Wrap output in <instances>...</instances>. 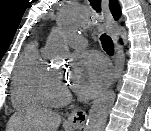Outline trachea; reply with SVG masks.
I'll return each mask as SVG.
<instances>
[{"label":"trachea","mask_w":151,"mask_h":131,"mask_svg":"<svg viewBox=\"0 0 151 131\" xmlns=\"http://www.w3.org/2000/svg\"><path fill=\"white\" fill-rule=\"evenodd\" d=\"M90 5L93 7L94 10L97 12H101V0H89ZM101 44L103 47V50L108 54V55H113L114 54V44L110 36L106 34H102L100 36Z\"/></svg>","instance_id":"3493384b"}]
</instances>
